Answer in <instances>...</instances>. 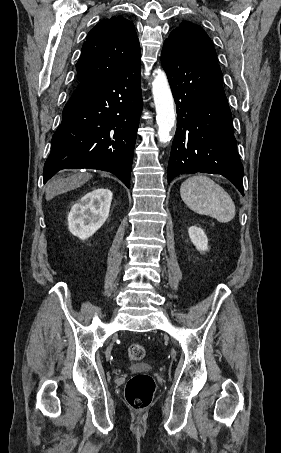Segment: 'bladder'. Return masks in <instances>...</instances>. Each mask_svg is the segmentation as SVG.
<instances>
[{
	"label": "bladder",
	"instance_id": "1",
	"mask_svg": "<svg viewBox=\"0 0 281 453\" xmlns=\"http://www.w3.org/2000/svg\"><path fill=\"white\" fill-rule=\"evenodd\" d=\"M133 369L138 372H146L149 370V367L147 365L141 364L134 366Z\"/></svg>",
	"mask_w": 281,
	"mask_h": 453
}]
</instances>
